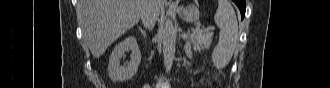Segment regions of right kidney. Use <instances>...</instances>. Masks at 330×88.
Here are the masks:
<instances>
[{
	"label": "right kidney",
	"mask_w": 330,
	"mask_h": 88,
	"mask_svg": "<svg viewBox=\"0 0 330 88\" xmlns=\"http://www.w3.org/2000/svg\"><path fill=\"white\" fill-rule=\"evenodd\" d=\"M126 51H131V60L127 65L121 66L120 59ZM141 52L137 40L133 36L125 38L115 46L109 58L108 75L112 81H125L131 79L138 70L141 62Z\"/></svg>",
	"instance_id": "ca27d5eb"
}]
</instances>
